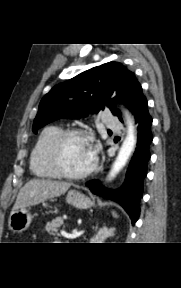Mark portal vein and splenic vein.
I'll return each mask as SVG.
<instances>
[{"mask_svg":"<svg viewBox=\"0 0 181 288\" xmlns=\"http://www.w3.org/2000/svg\"><path fill=\"white\" fill-rule=\"evenodd\" d=\"M84 233V231H79V232H73V233H67L65 231H61V234L68 239H75L77 237H79L80 235H82Z\"/></svg>","mask_w":181,"mask_h":288,"instance_id":"obj_1","label":"portal vein and splenic vein"}]
</instances>
